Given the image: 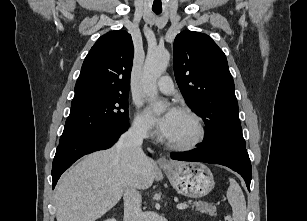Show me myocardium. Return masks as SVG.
Segmentation results:
<instances>
[{
    "label": "myocardium",
    "mask_w": 307,
    "mask_h": 221,
    "mask_svg": "<svg viewBox=\"0 0 307 221\" xmlns=\"http://www.w3.org/2000/svg\"><path fill=\"white\" fill-rule=\"evenodd\" d=\"M181 113L192 119L196 127V133L193 138L184 142H172L167 140V145L174 150L187 151L196 148L203 142L206 135V129L202 118L196 112L190 109H184Z\"/></svg>",
    "instance_id": "myocardium-1"
}]
</instances>
